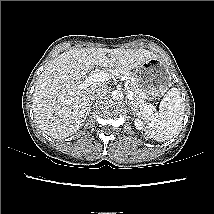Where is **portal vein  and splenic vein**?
I'll list each match as a JSON object with an SVG mask.
<instances>
[{
	"label": "portal vein and splenic vein",
	"instance_id": "18ae733b",
	"mask_svg": "<svg viewBox=\"0 0 214 214\" xmlns=\"http://www.w3.org/2000/svg\"><path fill=\"white\" fill-rule=\"evenodd\" d=\"M114 73H110V72H98V73H94L91 76H89L83 83L82 86L84 87H88L90 85H92L93 83L96 82H104V81H108L112 75ZM115 75V74H114ZM122 80H127L126 77H122ZM128 82L125 83V87L128 89V98L130 100L133 99V92L131 90H129V87L127 86ZM146 108L148 109V106H146ZM152 109V108H151ZM153 111V110H152Z\"/></svg>",
	"mask_w": 214,
	"mask_h": 214
}]
</instances>
